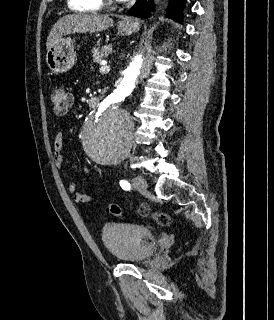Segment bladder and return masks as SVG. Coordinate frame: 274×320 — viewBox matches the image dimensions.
I'll list each match as a JSON object with an SVG mask.
<instances>
[{
	"mask_svg": "<svg viewBox=\"0 0 274 320\" xmlns=\"http://www.w3.org/2000/svg\"><path fill=\"white\" fill-rule=\"evenodd\" d=\"M153 232L133 223L107 224L101 232V241L115 260L123 263H139L154 252Z\"/></svg>",
	"mask_w": 274,
	"mask_h": 320,
	"instance_id": "31cf9c89",
	"label": "bladder"
}]
</instances>
